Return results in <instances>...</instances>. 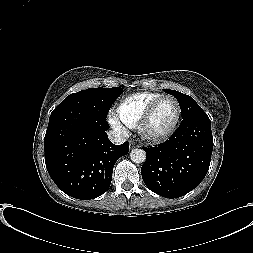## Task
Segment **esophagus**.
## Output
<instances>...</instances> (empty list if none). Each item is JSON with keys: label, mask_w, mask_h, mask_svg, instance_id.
Masks as SVG:
<instances>
[{"label": "esophagus", "mask_w": 253, "mask_h": 253, "mask_svg": "<svg viewBox=\"0 0 253 253\" xmlns=\"http://www.w3.org/2000/svg\"><path fill=\"white\" fill-rule=\"evenodd\" d=\"M129 146H130V149L139 147V145L135 141H132V140L129 142Z\"/></svg>", "instance_id": "obj_1"}]
</instances>
